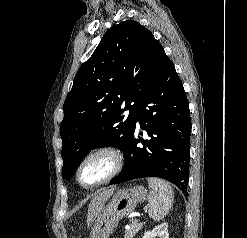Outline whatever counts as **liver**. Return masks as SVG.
Masks as SVG:
<instances>
[{"label": "liver", "mask_w": 247, "mask_h": 238, "mask_svg": "<svg viewBox=\"0 0 247 238\" xmlns=\"http://www.w3.org/2000/svg\"><path fill=\"white\" fill-rule=\"evenodd\" d=\"M113 192L114 187L100 192L91 200L88 208V225H90L96 219V217L99 216V214L104 208L105 202L109 199Z\"/></svg>", "instance_id": "obj_1"}]
</instances>
